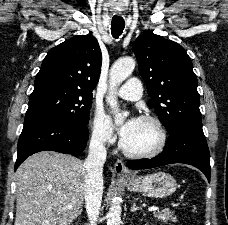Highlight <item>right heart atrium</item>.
I'll list each match as a JSON object with an SVG mask.
<instances>
[{"label": "right heart atrium", "instance_id": "1", "mask_svg": "<svg viewBox=\"0 0 228 225\" xmlns=\"http://www.w3.org/2000/svg\"><path fill=\"white\" fill-rule=\"evenodd\" d=\"M91 137L99 144L107 145L114 142V134L104 113L95 110L90 127Z\"/></svg>", "mask_w": 228, "mask_h": 225}]
</instances>
